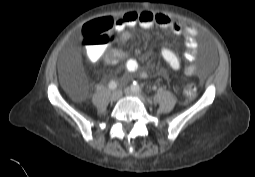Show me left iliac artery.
Instances as JSON below:
<instances>
[{"mask_svg":"<svg viewBox=\"0 0 255 177\" xmlns=\"http://www.w3.org/2000/svg\"><path fill=\"white\" fill-rule=\"evenodd\" d=\"M131 88H132L134 91L139 92L140 94H141V92H142V91H141V88H140V86H139V84H138L137 82H133Z\"/></svg>","mask_w":255,"mask_h":177,"instance_id":"44dca946","label":"left iliac artery"}]
</instances>
